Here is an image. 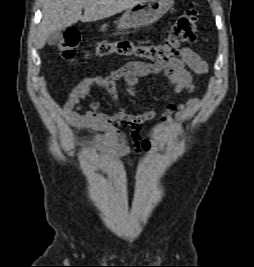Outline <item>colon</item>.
Wrapping results in <instances>:
<instances>
[{"mask_svg":"<svg viewBox=\"0 0 254 267\" xmlns=\"http://www.w3.org/2000/svg\"><path fill=\"white\" fill-rule=\"evenodd\" d=\"M197 33V11L191 6L186 13L174 22L167 38L160 43L143 45L129 40H100L96 43L93 54L98 57L112 54L134 56L155 63H162L177 57L184 45L196 40ZM80 39V33L76 28H68L58 44V50L62 58L71 65L76 63V52Z\"/></svg>","mask_w":254,"mask_h":267,"instance_id":"5ec220e1","label":"colon"}]
</instances>
